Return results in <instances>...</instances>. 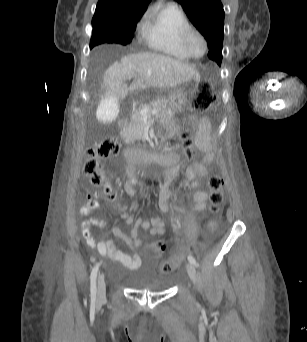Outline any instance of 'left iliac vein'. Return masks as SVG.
I'll return each mask as SVG.
<instances>
[{"mask_svg":"<svg viewBox=\"0 0 307 342\" xmlns=\"http://www.w3.org/2000/svg\"><path fill=\"white\" fill-rule=\"evenodd\" d=\"M186 268H187V272L189 274L190 279L192 280L193 283H195L196 282V269L194 265L191 263H188L186 265Z\"/></svg>","mask_w":307,"mask_h":342,"instance_id":"4c4485c4","label":"left iliac vein"}]
</instances>
